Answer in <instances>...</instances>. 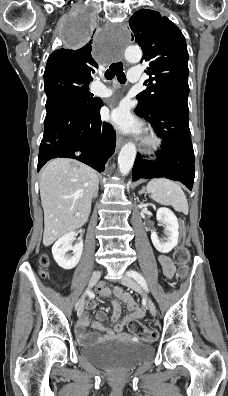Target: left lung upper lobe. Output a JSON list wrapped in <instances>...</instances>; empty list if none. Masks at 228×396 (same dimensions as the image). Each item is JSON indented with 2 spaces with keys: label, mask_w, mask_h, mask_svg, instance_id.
<instances>
[{
  "label": "left lung upper lobe",
  "mask_w": 228,
  "mask_h": 396,
  "mask_svg": "<svg viewBox=\"0 0 228 396\" xmlns=\"http://www.w3.org/2000/svg\"><path fill=\"white\" fill-rule=\"evenodd\" d=\"M130 28L147 62V88L137 95L138 108L146 113L169 97L188 96V51L180 29L159 12L140 9L130 18Z\"/></svg>",
  "instance_id": "1"
}]
</instances>
